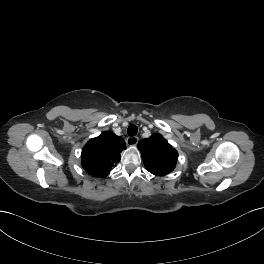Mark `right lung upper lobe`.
I'll return each mask as SVG.
<instances>
[{
	"instance_id": "obj_1",
	"label": "right lung upper lobe",
	"mask_w": 264,
	"mask_h": 264,
	"mask_svg": "<svg viewBox=\"0 0 264 264\" xmlns=\"http://www.w3.org/2000/svg\"><path fill=\"white\" fill-rule=\"evenodd\" d=\"M124 139L112 132H104L89 140L82 149V167L92 176L105 177L121 159L126 149Z\"/></svg>"
}]
</instances>
